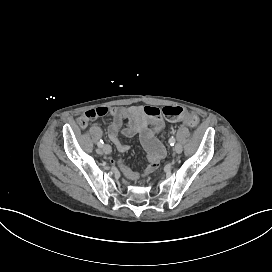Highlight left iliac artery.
Here are the masks:
<instances>
[{
	"label": "left iliac artery",
	"instance_id": "obj_1",
	"mask_svg": "<svg viewBox=\"0 0 272 272\" xmlns=\"http://www.w3.org/2000/svg\"><path fill=\"white\" fill-rule=\"evenodd\" d=\"M175 142H176V140H175L174 137H171V138L169 139V144H170L171 146H174Z\"/></svg>",
	"mask_w": 272,
	"mask_h": 272
}]
</instances>
